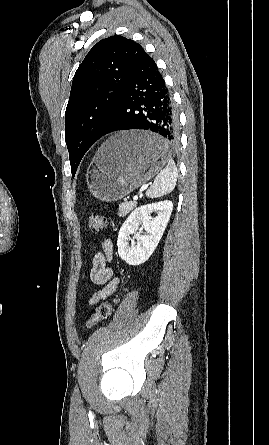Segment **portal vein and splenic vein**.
<instances>
[{
  "instance_id": "1",
  "label": "portal vein and splenic vein",
  "mask_w": 269,
  "mask_h": 445,
  "mask_svg": "<svg viewBox=\"0 0 269 445\" xmlns=\"http://www.w3.org/2000/svg\"><path fill=\"white\" fill-rule=\"evenodd\" d=\"M147 187H148V184L143 185V186L141 187V189L139 190V193L133 196V200H137V199H138V195H141L142 192H143L144 190L147 189Z\"/></svg>"
}]
</instances>
